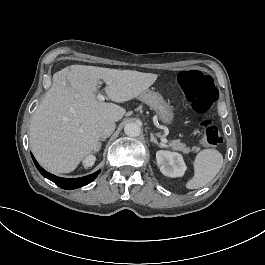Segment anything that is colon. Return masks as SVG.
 Wrapping results in <instances>:
<instances>
[{
  "instance_id": "1",
  "label": "colon",
  "mask_w": 265,
  "mask_h": 265,
  "mask_svg": "<svg viewBox=\"0 0 265 265\" xmlns=\"http://www.w3.org/2000/svg\"><path fill=\"white\" fill-rule=\"evenodd\" d=\"M181 87L193 111L198 115H205L219 97V91L210 76L200 68L187 71L182 77ZM197 122L203 131L204 143L211 147H220L223 137L219 127L208 118H199Z\"/></svg>"
}]
</instances>
